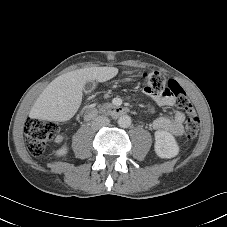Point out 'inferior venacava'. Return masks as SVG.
Segmentation results:
<instances>
[{
  "instance_id": "602c4592",
  "label": "inferior vena cava",
  "mask_w": 227,
  "mask_h": 227,
  "mask_svg": "<svg viewBox=\"0 0 227 227\" xmlns=\"http://www.w3.org/2000/svg\"><path fill=\"white\" fill-rule=\"evenodd\" d=\"M109 123L110 120L106 116H98L92 121L91 126L93 129L97 130L101 127L109 125Z\"/></svg>"
}]
</instances>
